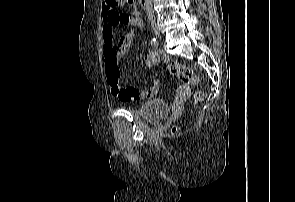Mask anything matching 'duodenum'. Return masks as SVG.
<instances>
[{"label":"duodenum","instance_id":"obj_1","mask_svg":"<svg viewBox=\"0 0 295 202\" xmlns=\"http://www.w3.org/2000/svg\"><path fill=\"white\" fill-rule=\"evenodd\" d=\"M139 4L142 8H146L148 4V0H139Z\"/></svg>","mask_w":295,"mask_h":202}]
</instances>
